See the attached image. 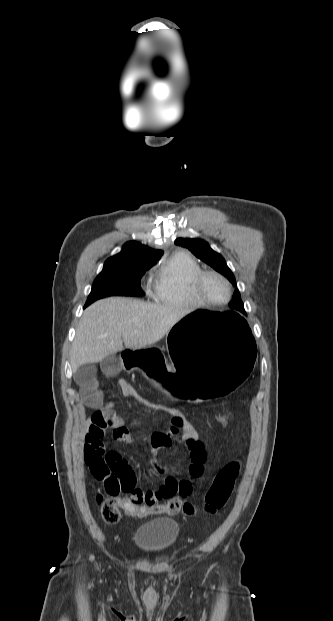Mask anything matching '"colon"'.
Returning <instances> with one entry per match:
<instances>
[{
	"instance_id": "1",
	"label": "colon",
	"mask_w": 333,
	"mask_h": 621,
	"mask_svg": "<svg viewBox=\"0 0 333 621\" xmlns=\"http://www.w3.org/2000/svg\"><path fill=\"white\" fill-rule=\"evenodd\" d=\"M140 402L155 409H178L176 402L166 398L154 396L147 399L140 394ZM219 420L226 422L233 417L232 410H225L219 414ZM240 472L239 461H232L226 464L216 475L212 485L205 496L204 510L210 515H215L221 510L233 491L236 479ZM94 478L102 483L103 493L96 496L97 502L101 507V516L106 523H117L121 518V510L131 516H147L157 513L178 514L192 516L195 512L194 506L189 502H183L179 498H171L166 503H153L138 508H132L124 498L119 495L121 492H129L136 487V475L128 464L123 468H116L107 462H101L93 471Z\"/></svg>"
}]
</instances>
